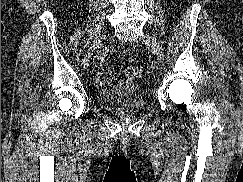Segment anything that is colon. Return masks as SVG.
<instances>
[{
    "instance_id": "1",
    "label": "colon",
    "mask_w": 243,
    "mask_h": 182,
    "mask_svg": "<svg viewBox=\"0 0 243 182\" xmlns=\"http://www.w3.org/2000/svg\"><path fill=\"white\" fill-rule=\"evenodd\" d=\"M127 76L132 79H137L142 76V69L139 66H131L126 70Z\"/></svg>"
}]
</instances>
